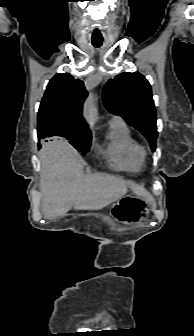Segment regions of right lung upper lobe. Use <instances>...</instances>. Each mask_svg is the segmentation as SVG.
<instances>
[{"mask_svg":"<svg viewBox=\"0 0 194 336\" xmlns=\"http://www.w3.org/2000/svg\"><path fill=\"white\" fill-rule=\"evenodd\" d=\"M87 96L84 84L70 74H56L48 83L38 112V138L91 136L82 118Z\"/></svg>","mask_w":194,"mask_h":336,"instance_id":"cb5924a9","label":"right lung upper lobe"}]
</instances>
